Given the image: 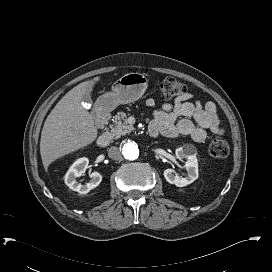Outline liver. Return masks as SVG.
<instances>
[{"label": "liver", "mask_w": 272, "mask_h": 272, "mask_svg": "<svg viewBox=\"0 0 272 272\" xmlns=\"http://www.w3.org/2000/svg\"><path fill=\"white\" fill-rule=\"evenodd\" d=\"M99 80L100 77H95L75 86L46 118L40 140V155L45 169L55 160L84 148L97 138L94 118L82 102Z\"/></svg>", "instance_id": "liver-1"}]
</instances>
